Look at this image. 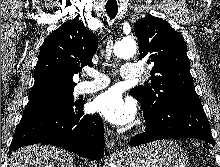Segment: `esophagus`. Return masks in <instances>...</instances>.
Wrapping results in <instances>:
<instances>
[{"instance_id":"esophagus-1","label":"esophagus","mask_w":220,"mask_h":167,"mask_svg":"<svg viewBox=\"0 0 220 167\" xmlns=\"http://www.w3.org/2000/svg\"><path fill=\"white\" fill-rule=\"evenodd\" d=\"M105 145L107 150H112L115 145L113 132L107 127L105 128Z\"/></svg>"}]
</instances>
